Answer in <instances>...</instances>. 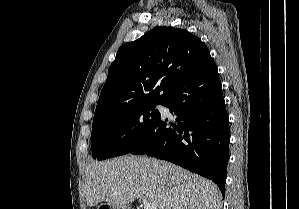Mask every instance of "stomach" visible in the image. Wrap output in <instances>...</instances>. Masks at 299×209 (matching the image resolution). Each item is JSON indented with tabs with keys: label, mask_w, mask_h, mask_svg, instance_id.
Masks as SVG:
<instances>
[{
	"label": "stomach",
	"mask_w": 299,
	"mask_h": 209,
	"mask_svg": "<svg viewBox=\"0 0 299 209\" xmlns=\"http://www.w3.org/2000/svg\"><path fill=\"white\" fill-rule=\"evenodd\" d=\"M102 207H104V208H106V209H124L123 207H116V206H111V205H105V204H103V205H100L99 207H98V209H103Z\"/></svg>",
	"instance_id": "obj_1"
}]
</instances>
